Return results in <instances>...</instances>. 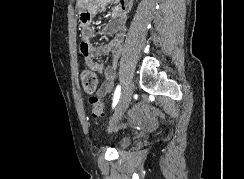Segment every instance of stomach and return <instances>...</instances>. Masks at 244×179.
I'll list each match as a JSON object with an SVG mask.
<instances>
[{"label": "stomach", "mask_w": 244, "mask_h": 179, "mask_svg": "<svg viewBox=\"0 0 244 179\" xmlns=\"http://www.w3.org/2000/svg\"><path fill=\"white\" fill-rule=\"evenodd\" d=\"M78 2H80V3H78V8H85V3H87L88 0H78ZM79 13L80 14H83L84 13V10L83 9H80L79 10Z\"/></svg>", "instance_id": "stomach-1"}]
</instances>
